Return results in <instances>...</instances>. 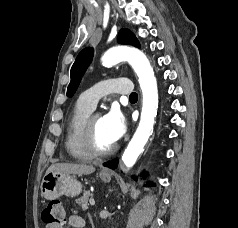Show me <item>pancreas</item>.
<instances>
[{
	"label": "pancreas",
	"mask_w": 238,
	"mask_h": 228,
	"mask_svg": "<svg viewBox=\"0 0 238 228\" xmlns=\"http://www.w3.org/2000/svg\"><path fill=\"white\" fill-rule=\"evenodd\" d=\"M90 199H92V194L89 191H85L83 193V196L78 198L76 200V203L83 209V210H87L88 209V201H90Z\"/></svg>",
	"instance_id": "cf45deb5"
}]
</instances>
